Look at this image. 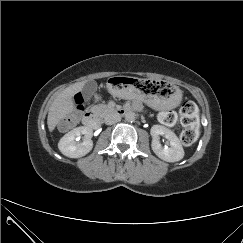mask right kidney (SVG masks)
Listing matches in <instances>:
<instances>
[{"label": "right kidney", "mask_w": 243, "mask_h": 243, "mask_svg": "<svg viewBox=\"0 0 243 243\" xmlns=\"http://www.w3.org/2000/svg\"><path fill=\"white\" fill-rule=\"evenodd\" d=\"M92 129L84 126L77 127L65 134L58 143L63 155L70 158H80L89 153L93 147ZM80 135H84L83 142H79Z\"/></svg>", "instance_id": "obj_1"}]
</instances>
